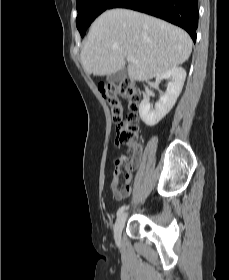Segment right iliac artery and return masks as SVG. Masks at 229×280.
Here are the masks:
<instances>
[{
	"instance_id": "right-iliac-artery-1",
	"label": "right iliac artery",
	"mask_w": 229,
	"mask_h": 280,
	"mask_svg": "<svg viewBox=\"0 0 229 280\" xmlns=\"http://www.w3.org/2000/svg\"><path fill=\"white\" fill-rule=\"evenodd\" d=\"M128 206L124 205L122 207L119 208V210L117 211V216H120L126 209Z\"/></svg>"
}]
</instances>
